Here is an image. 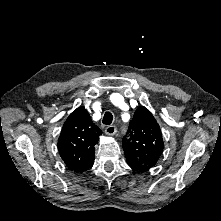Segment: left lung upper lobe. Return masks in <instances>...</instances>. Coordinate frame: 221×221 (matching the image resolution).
<instances>
[{"label":"left lung upper lobe","mask_w":221,"mask_h":221,"mask_svg":"<svg viewBox=\"0 0 221 221\" xmlns=\"http://www.w3.org/2000/svg\"><path fill=\"white\" fill-rule=\"evenodd\" d=\"M127 133L129 138H123L126 160L135 163L139 171L154 166L163 152L164 142L160 127L147 108H137Z\"/></svg>","instance_id":"obj_1"}]
</instances>
